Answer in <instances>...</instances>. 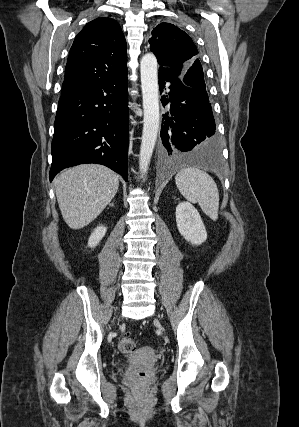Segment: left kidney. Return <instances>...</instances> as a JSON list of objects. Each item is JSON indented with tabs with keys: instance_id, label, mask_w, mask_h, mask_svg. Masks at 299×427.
I'll return each mask as SVG.
<instances>
[{
	"instance_id": "left-kidney-1",
	"label": "left kidney",
	"mask_w": 299,
	"mask_h": 427,
	"mask_svg": "<svg viewBox=\"0 0 299 427\" xmlns=\"http://www.w3.org/2000/svg\"><path fill=\"white\" fill-rule=\"evenodd\" d=\"M176 223L179 233L192 245H201L207 239L202 219L189 202H181L176 207Z\"/></svg>"
}]
</instances>
